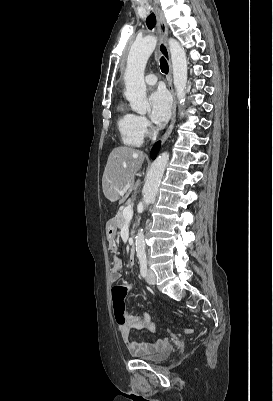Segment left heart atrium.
<instances>
[{
  "label": "left heart atrium",
  "instance_id": "left-heart-atrium-1",
  "mask_svg": "<svg viewBox=\"0 0 273 401\" xmlns=\"http://www.w3.org/2000/svg\"><path fill=\"white\" fill-rule=\"evenodd\" d=\"M149 116L157 125H163L167 122L171 103L168 96L163 92H154L149 98Z\"/></svg>",
  "mask_w": 273,
  "mask_h": 401
}]
</instances>
